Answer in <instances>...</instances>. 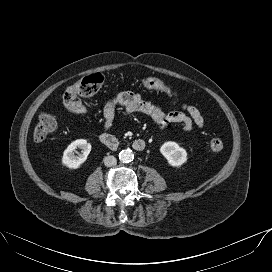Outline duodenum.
Listing matches in <instances>:
<instances>
[{
	"label": "duodenum",
	"instance_id": "duodenum-1",
	"mask_svg": "<svg viewBox=\"0 0 272 272\" xmlns=\"http://www.w3.org/2000/svg\"><path fill=\"white\" fill-rule=\"evenodd\" d=\"M99 139L103 145L109 149H117L119 147V141L116 137L109 134L108 132H103L99 135ZM132 147L135 151H143L146 148V142L144 139H136Z\"/></svg>",
	"mask_w": 272,
	"mask_h": 272
}]
</instances>
